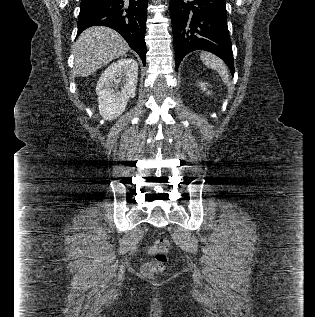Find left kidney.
Returning <instances> with one entry per match:
<instances>
[{
    "label": "left kidney",
    "instance_id": "1",
    "mask_svg": "<svg viewBox=\"0 0 315 317\" xmlns=\"http://www.w3.org/2000/svg\"><path fill=\"white\" fill-rule=\"evenodd\" d=\"M206 85L209 86V85H208L207 83H205V82H200V83H199V86L201 87L202 90H206ZM209 93H210V92H208V94H209Z\"/></svg>",
    "mask_w": 315,
    "mask_h": 317
}]
</instances>
